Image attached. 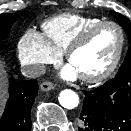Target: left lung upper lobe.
Wrapping results in <instances>:
<instances>
[{
	"label": "left lung upper lobe",
	"mask_w": 131,
	"mask_h": 131,
	"mask_svg": "<svg viewBox=\"0 0 131 131\" xmlns=\"http://www.w3.org/2000/svg\"><path fill=\"white\" fill-rule=\"evenodd\" d=\"M111 14L117 19L119 24L126 31V34L128 36V40L130 43L125 61L119 68V71L116 75H123L125 73H131V21L119 13L112 11Z\"/></svg>",
	"instance_id": "1"
}]
</instances>
